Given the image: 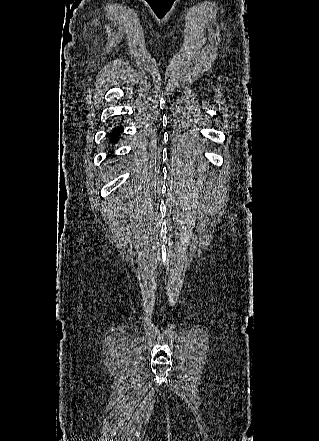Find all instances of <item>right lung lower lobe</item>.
I'll return each mask as SVG.
<instances>
[{
  "mask_svg": "<svg viewBox=\"0 0 319 441\" xmlns=\"http://www.w3.org/2000/svg\"><path fill=\"white\" fill-rule=\"evenodd\" d=\"M123 131L122 126H114L113 130L110 132L108 136V141L110 144H116L119 140V136Z\"/></svg>",
  "mask_w": 319,
  "mask_h": 441,
  "instance_id": "right-lung-lower-lobe-1",
  "label": "right lung lower lobe"
}]
</instances>
